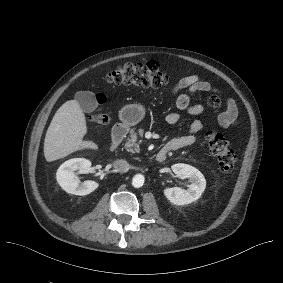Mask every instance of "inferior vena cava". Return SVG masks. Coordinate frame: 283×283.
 <instances>
[{
  "instance_id": "obj_1",
  "label": "inferior vena cava",
  "mask_w": 283,
  "mask_h": 283,
  "mask_svg": "<svg viewBox=\"0 0 283 283\" xmlns=\"http://www.w3.org/2000/svg\"><path fill=\"white\" fill-rule=\"evenodd\" d=\"M115 169L119 170L122 173L127 172L128 164L124 160H118L117 162H115Z\"/></svg>"
}]
</instances>
